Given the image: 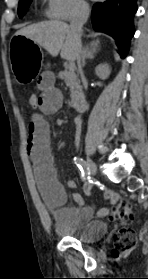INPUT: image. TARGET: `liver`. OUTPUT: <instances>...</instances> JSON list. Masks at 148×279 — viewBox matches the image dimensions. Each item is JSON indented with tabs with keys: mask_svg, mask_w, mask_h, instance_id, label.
Here are the masks:
<instances>
[{
	"mask_svg": "<svg viewBox=\"0 0 148 279\" xmlns=\"http://www.w3.org/2000/svg\"><path fill=\"white\" fill-rule=\"evenodd\" d=\"M16 35L28 37L54 57L60 53L62 59L76 60V39L65 22L51 20L32 24L20 29Z\"/></svg>",
	"mask_w": 148,
	"mask_h": 279,
	"instance_id": "6515ba94",
	"label": "liver"
}]
</instances>
